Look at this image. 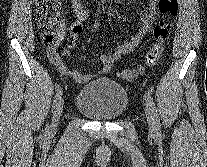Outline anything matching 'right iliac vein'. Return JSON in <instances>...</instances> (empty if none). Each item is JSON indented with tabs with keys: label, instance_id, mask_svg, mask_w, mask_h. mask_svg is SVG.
Masks as SVG:
<instances>
[{
	"label": "right iliac vein",
	"instance_id": "1",
	"mask_svg": "<svg viewBox=\"0 0 207 167\" xmlns=\"http://www.w3.org/2000/svg\"><path fill=\"white\" fill-rule=\"evenodd\" d=\"M63 106H64V99L61 98L58 101L57 105H56V109H55L53 117H52V123H51V126H50V131L51 132H54V131L57 130L58 123H59V120H60V116H61V113H62V110H63Z\"/></svg>",
	"mask_w": 207,
	"mask_h": 167
}]
</instances>
